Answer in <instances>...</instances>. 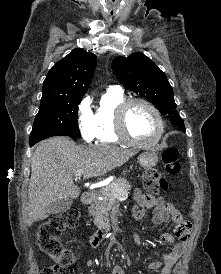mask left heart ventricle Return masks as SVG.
<instances>
[{
  "instance_id": "b2bd125f",
  "label": "left heart ventricle",
  "mask_w": 221,
  "mask_h": 274,
  "mask_svg": "<svg viewBox=\"0 0 221 274\" xmlns=\"http://www.w3.org/2000/svg\"><path fill=\"white\" fill-rule=\"evenodd\" d=\"M126 124L129 134L141 142L151 141L158 130L154 114L143 104H134L129 109Z\"/></svg>"
}]
</instances>
